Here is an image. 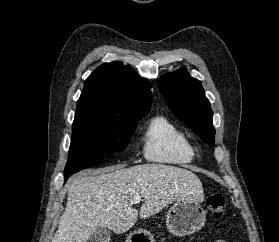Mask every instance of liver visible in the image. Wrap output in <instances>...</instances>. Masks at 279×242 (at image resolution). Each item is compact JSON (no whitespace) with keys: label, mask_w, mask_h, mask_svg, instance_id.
<instances>
[{"label":"liver","mask_w":279,"mask_h":242,"mask_svg":"<svg viewBox=\"0 0 279 242\" xmlns=\"http://www.w3.org/2000/svg\"><path fill=\"white\" fill-rule=\"evenodd\" d=\"M144 199L138 212L133 197ZM204 199L200 179L191 171L170 165L113 166L84 172L68 185L67 205L52 242H88L99 228L127 232L141 219L180 200Z\"/></svg>","instance_id":"1"}]
</instances>
